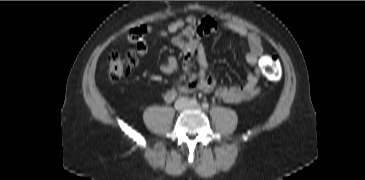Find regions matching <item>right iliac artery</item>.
Segmentation results:
<instances>
[{"instance_id":"right-iliac-artery-1","label":"right iliac artery","mask_w":365,"mask_h":180,"mask_svg":"<svg viewBox=\"0 0 365 180\" xmlns=\"http://www.w3.org/2000/svg\"><path fill=\"white\" fill-rule=\"evenodd\" d=\"M189 104L192 105V106L196 105L197 104L196 99H194V98L190 99Z\"/></svg>"}]
</instances>
